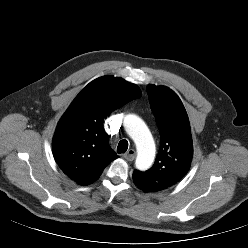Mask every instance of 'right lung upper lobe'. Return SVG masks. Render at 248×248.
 Instances as JSON below:
<instances>
[{"label":"right lung upper lobe","mask_w":248,"mask_h":248,"mask_svg":"<svg viewBox=\"0 0 248 248\" xmlns=\"http://www.w3.org/2000/svg\"><path fill=\"white\" fill-rule=\"evenodd\" d=\"M136 85L102 76L90 82L61 117L53 138V155L60 169L79 185L95 182L117 154L103 128L113 110L139 98Z\"/></svg>","instance_id":"1"}]
</instances>
